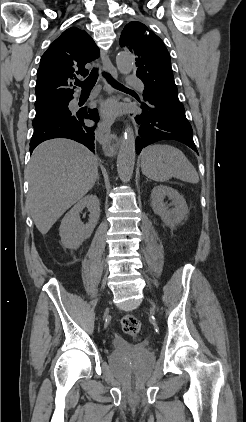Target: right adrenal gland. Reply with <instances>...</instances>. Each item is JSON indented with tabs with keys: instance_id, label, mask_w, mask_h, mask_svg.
<instances>
[{
	"instance_id": "1",
	"label": "right adrenal gland",
	"mask_w": 246,
	"mask_h": 422,
	"mask_svg": "<svg viewBox=\"0 0 246 422\" xmlns=\"http://www.w3.org/2000/svg\"><path fill=\"white\" fill-rule=\"evenodd\" d=\"M97 184L99 185V178H98V180H97Z\"/></svg>"
}]
</instances>
